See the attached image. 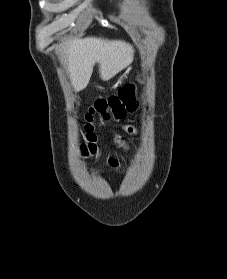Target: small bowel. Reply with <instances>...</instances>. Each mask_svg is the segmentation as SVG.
<instances>
[{
	"label": "small bowel",
	"instance_id": "1",
	"mask_svg": "<svg viewBox=\"0 0 227 279\" xmlns=\"http://www.w3.org/2000/svg\"><path fill=\"white\" fill-rule=\"evenodd\" d=\"M115 166H116V162L113 160L108 161V163L106 165L107 168H113Z\"/></svg>",
	"mask_w": 227,
	"mask_h": 279
}]
</instances>
